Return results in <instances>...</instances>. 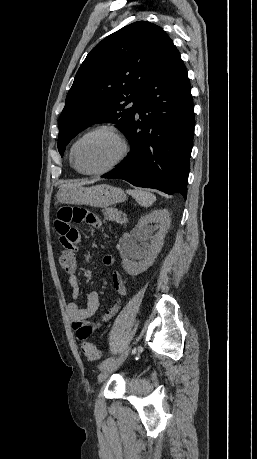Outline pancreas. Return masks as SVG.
Here are the masks:
<instances>
[{
    "label": "pancreas",
    "instance_id": "obj_1",
    "mask_svg": "<svg viewBox=\"0 0 257 459\" xmlns=\"http://www.w3.org/2000/svg\"><path fill=\"white\" fill-rule=\"evenodd\" d=\"M103 214L106 220L115 221L119 224L124 222L121 216V212L116 208H106L103 210Z\"/></svg>",
    "mask_w": 257,
    "mask_h": 459
}]
</instances>
